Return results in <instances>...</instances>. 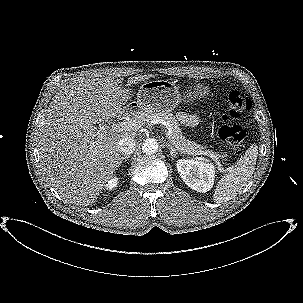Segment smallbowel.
<instances>
[{"instance_id": "obj_1", "label": "small bowel", "mask_w": 303, "mask_h": 303, "mask_svg": "<svg viewBox=\"0 0 303 303\" xmlns=\"http://www.w3.org/2000/svg\"><path fill=\"white\" fill-rule=\"evenodd\" d=\"M177 118H178V121L186 127H192V126L196 125V123H197L196 116H194L192 114H188L186 112L178 113Z\"/></svg>"}]
</instances>
